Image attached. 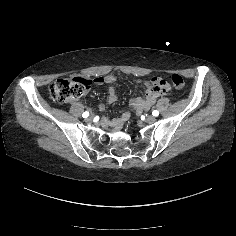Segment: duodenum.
Returning a JSON list of instances; mask_svg holds the SVG:
<instances>
[{"instance_id":"obj_1","label":"duodenum","mask_w":236,"mask_h":236,"mask_svg":"<svg viewBox=\"0 0 236 236\" xmlns=\"http://www.w3.org/2000/svg\"><path fill=\"white\" fill-rule=\"evenodd\" d=\"M157 85H160L161 86V83H158ZM157 92L156 91H153V90H150V97L155 95ZM150 98H147V99H140L138 102H137V105H142L145 103L146 100H148Z\"/></svg>"}]
</instances>
